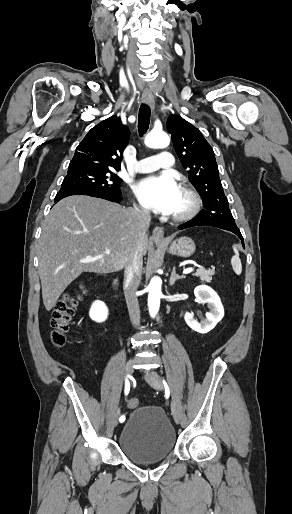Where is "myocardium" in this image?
<instances>
[{"label": "myocardium", "instance_id": "1", "mask_svg": "<svg viewBox=\"0 0 292 514\" xmlns=\"http://www.w3.org/2000/svg\"><path fill=\"white\" fill-rule=\"evenodd\" d=\"M181 193L184 195L187 205L184 210L172 213L173 218L179 221L191 218L197 213L200 207V197L196 191L188 186H183Z\"/></svg>", "mask_w": 292, "mask_h": 514}]
</instances>
